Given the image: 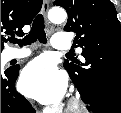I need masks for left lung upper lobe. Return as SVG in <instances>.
I'll list each match as a JSON object with an SVG mask.
<instances>
[{
	"instance_id": "1",
	"label": "left lung upper lobe",
	"mask_w": 121,
	"mask_h": 113,
	"mask_svg": "<svg viewBox=\"0 0 121 113\" xmlns=\"http://www.w3.org/2000/svg\"><path fill=\"white\" fill-rule=\"evenodd\" d=\"M68 13L65 31L76 33L84 61L64 63L78 91L98 88L121 99L120 23L110 0H56Z\"/></svg>"
}]
</instances>
